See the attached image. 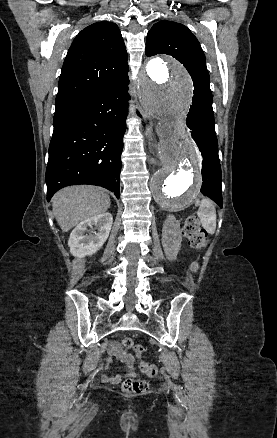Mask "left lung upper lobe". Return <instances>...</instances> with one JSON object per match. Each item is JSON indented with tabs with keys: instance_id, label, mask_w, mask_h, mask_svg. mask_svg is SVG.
Returning <instances> with one entry per match:
<instances>
[{
	"instance_id": "1",
	"label": "left lung upper lobe",
	"mask_w": 277,
	"mask_h": 438,
	"mask_svg": "<svg viewBox=\"0 0 277 438\" xmlns=\"http://www.w3.org/2000/svg\"><path fill=\"white\" fill-rule=\"evenodd\" d=\"M145 53L147 56L167 54L175 57L192 77L195 88L192 104L212 106L205 55L198 40L186 26L168 20L157 22L147 34Z\"/></svg>"
}]
</instances>
